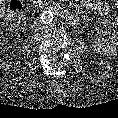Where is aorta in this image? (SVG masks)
<instances>
[{
    "label": "aorta",
    "mask_w": 118,
    "mask_h": 118,
    "mask_svg": "<svg viewBox=\"0 0 118 118\" xmlns=\"http://www.w3.org/2000/svg\"><path fill=\"white\" fill-rule=\"evenodd\" d=\"M54 15L51 11H44L41 16L40 19L44 24H49L53 21Z\"/></svg>",
    "instance_id": "1"
}]
</instances>
